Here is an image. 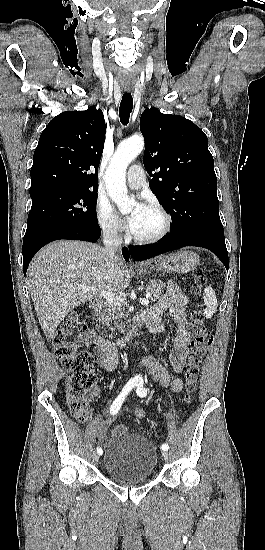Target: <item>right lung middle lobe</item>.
I'll list each match as a JSON object with an SVG mask.
<instances>
[{
  "instance_id": "obj_1",
  "label": "right lung middle lobe",
  "mask_w": 265,
  "mask_h": 550,
  "mask_svg": "<svg viewBox=\"0 0 265 550\" xmlns=\"http://www.w3.org/2000/svg\"><path fill=\"white\" fill-rule=\"evenodd\" d=\"M32 207L24 239L63 225H97V191L41 187L30 190Z\"/></svg>"
}]
</instances>
